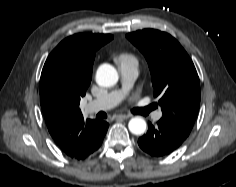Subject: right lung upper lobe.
Returning <instances> with one entry per match:
<instances>
[{"label": "right lung upper lobe", "instance_id": "right-lung-upper-lobe-1", "mask_svg": "<svg viewBox=\"0 0 236 187\" xmlns=\"http://www.w3.org/2000/svg\"><path fill=\"white\" fill-rule=\"evenodd\" d=\"M111 39L110 34L72 35L50 53L41 73L40 104L48 130L78 160L88 153L100 122L84 120L80 99L90 85L96 51Z\"/></svg>", "mask_w": 236, "mask_h": 187}]
</instances>
